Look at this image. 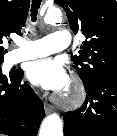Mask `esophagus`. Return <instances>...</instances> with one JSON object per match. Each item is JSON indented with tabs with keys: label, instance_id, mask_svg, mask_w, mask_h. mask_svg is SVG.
Returning <instances> with one entry per match:
<instances>
[{
	"label": "esophagus",
	"instance_id": "1",
	"mask_svg": "<svg viewBox=\"0 0 117 136\" xmlns=\"http://www.w3.org/2000/svg\"><path fill=\"white\" fill-rule=\"evenodd\" d=\"M44 108H45V112H46L47 114H49V113L52 111V107H51V105L48 104V103H45V104H44Z\"/></svg>",
	"mask_w": 117,
	"mask_h": 136
}]
</instances>
